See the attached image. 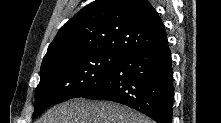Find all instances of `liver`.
I'll use <instances>...</instances> for the list:
<instances>
[{
	"label": "liver",
	"instance_id": "1",
	"mask_svg": "<svg viewBox=\"0 0 221 123\" xmlns=\"http://www.w3.org/2000/svg\"><path fill=\"white\" fill-rule=\"evenodd\" d=\"M38 123H153V121L120 104L78 98L54 106Z\"/></svg>",
	"mask_w": 221,
	"mask_h": 123
}]
</instances>
